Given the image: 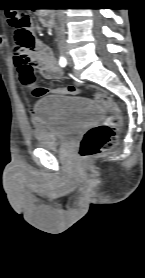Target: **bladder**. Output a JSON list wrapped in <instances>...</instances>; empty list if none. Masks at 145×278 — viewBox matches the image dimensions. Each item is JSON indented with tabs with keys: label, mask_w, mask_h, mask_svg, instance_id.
Segmentation results:
<instances>
[{
	"label": "bladder",
	"mask_w": 145,
	"mask_h": 278,
	"mask_svg": "<svg viewBox=\"0 0 145 278\" xmlns=\"http://www.w3.org/2000/svg\"><path fill=\"white\" fill-rule=\"evenodd\" d=\"M33 110V144L46 150H56L70 142L96 123L101 114L95 100L55 94L42 96Z\"/></svg>",
	"instance_id": "obj_1"
}]
</instances>
